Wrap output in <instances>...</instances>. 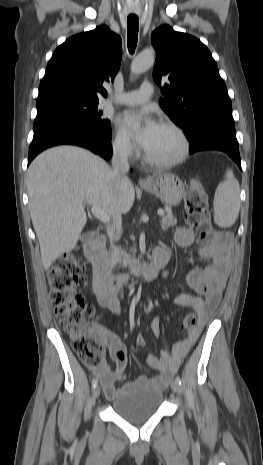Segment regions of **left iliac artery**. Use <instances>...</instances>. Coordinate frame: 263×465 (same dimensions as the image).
Here are the masks:
<instances>
[{
  "instance_id": "1",
  "label": "left iliac artery",
  "mask_w": 263,
  "mask_h": 465,
  "mask_svg": "<svg viewBox=\"0 0 263 465\" xmlns=\"http://www.w3.org/2000/svg\"><path fill=\"white\" fill-rule=\"evenodd\" d=\"M175 380L179 383V385L181 384V378L179 376H176Z\"/></svg>"
}]
</instances>
